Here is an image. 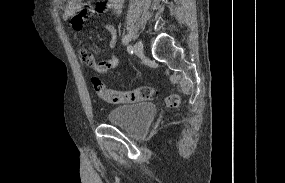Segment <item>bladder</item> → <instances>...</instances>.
<instances>
[{
  "label": "bladder",
  "instance_id": "bladder-1",
  "mask_svg": "<svg viewBox=\"0 0 285 183\" xmlns=\"http://www.w3.org/2000/svg\"><path fill=\"white\" fill-rule=\"evenodd\" d=\"M156 113V107L145 102L114 108L108 113L107 119L113 125L131 132H139L151 123Z\"/></svg>",
  "mask_w": 285,
  "mask_h": 183
}]
</instances>
